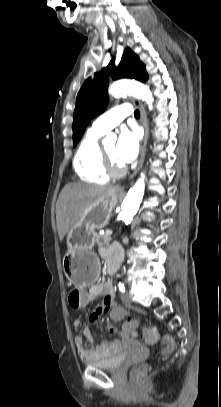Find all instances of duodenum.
<instances>
[{"label":"duodenum","instance_id":"obj_1","mask_svg":"<svg viewBox=\"0 0 221 407\" xmlns=\"http://www.w3.org/2000/svg\"><path fill=\"white\" fill-rule=\"evenodd\" d=\"M122 254L119 249H116L109 257L107 261V272L109 274H112L115 272L120 260H121Z\"/></svg>","mask_w":221,"mask_h":407}]
</instances>
